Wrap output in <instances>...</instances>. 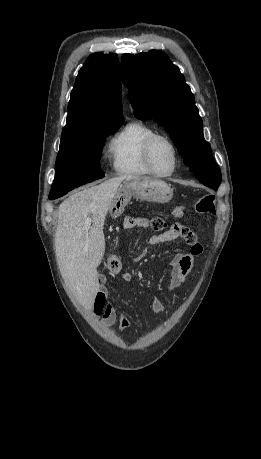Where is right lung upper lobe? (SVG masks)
Listing matches in <instances>:
<instances>
[{"label": "right lung upper lobe", "instance_id": "right-lung-upper-lobe-1", "mask_svg": "<svg viewBox=\"0 0 261 459\" xmlns=\"http://www.w3.org/2000/svg\"><path fill=\"white\" fill-rule=\"evenodd\" d=\"M119 60L115 54H92L80 69L68 104L62 140L103 124L123 122Z\"/></svg>", "mask_w": 261, "mask_h": 459}]
</instances>
